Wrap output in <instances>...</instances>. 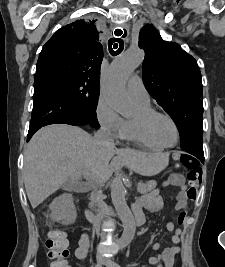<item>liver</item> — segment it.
<instances>
[{
  "label": "liver",
  "mask_w": 225,
  "mask_h": 267,
  "mask_svg": "<svg viewBox=\"0 0 225 267\" xmlns=\"http://www.w3.org/2000/svg\"><path fill=\"white\" fill-rule=\"evenodd\" d=\"M114 155L117 156L113 158ZM146 159V154L133 150L123 152L114 145L102 147L79 127L48 125L36 132L24 152L26 193L32 208H36L70 179L95 180L99 171L108 179L113 167L120 165L147 175L143 167Z\"/></svg>",
  "instance_id": "6515ba94"
}]
</instances>
